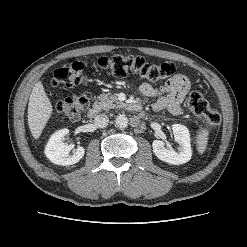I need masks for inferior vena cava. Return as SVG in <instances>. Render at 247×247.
Returning a JSON list of instances; mask_svg holds the SVG:
<instances>
[{
    "instance_id": "602c4592",
    "label": "inferior vena cava",
    "mask_w": 247,
    "mask_h": 247,
    "mask_svg": "<svg viewBox=\"0 0 247 247\" xmlns=\"http://www.w3.org/2000/svg\"><path fill=\"white\" fill-rule=\"evenodd\" d=\"M94 122L98 128H104L109 123V118L105 114H99L95 117Z\"/></svg>"
}]
</instances>
